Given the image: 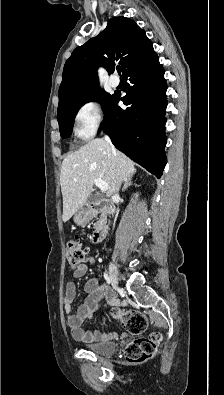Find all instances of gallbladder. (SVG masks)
I'll use <instances>...</instances> for the list:
<instances>
[{
    "label": "gallbladder",
    "mask_w": 224,
    "mask_h": 395,
    "mask_svg": "<svg viewBox=\"0 0 224 395\" xmlns=\"http://www.w3.org/2000/svg\"><path fill=\"white\" fill-rule=\"evenodd\" d=\"M97 200H98V197H97V196L91 195V196L88 198V203H94V202H96Z\"/></svg>",
    "instance_id": "bac80fb5"
}]
</instances>
